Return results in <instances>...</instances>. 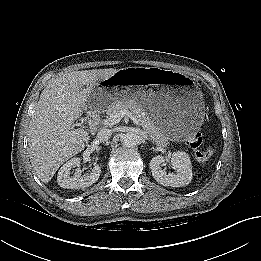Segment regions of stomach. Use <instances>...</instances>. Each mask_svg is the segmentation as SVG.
<instances>
[{"label": "stomach", "mask_w": 261, "mask_h": 261, "mask_svg": "<svg viewBox=\"0 0 261 261\" xmlns=\"http://www.w3.org/2000/svg\"><path fill=\"white\" fill-rule=\"evenodd\" d=\"M109 80L115 82L103 84L91 93L90 108L103 110L116 101L134 100L150 113L154 124L168 139L186 140L199 130L203 97L192 81L181 74L130 67L118 70Z\"/></svg>", "instance_id": "1"}]
</instances>
